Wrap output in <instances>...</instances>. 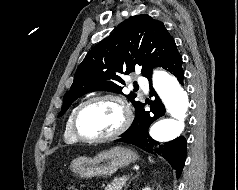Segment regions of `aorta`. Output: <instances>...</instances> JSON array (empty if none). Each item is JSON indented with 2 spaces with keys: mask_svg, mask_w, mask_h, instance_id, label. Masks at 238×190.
Here are the masks:
<instances>
[{
  "mask_svg": "<svg viewBox=\"0 0 238 190\" xmlns=\"http://www.w3.org/2000/svg\"><path fill=\"white\" fill-rule=\"evenodd\" d=\"M153 86L161 98L169 117L160 118L150 129V136L160 143L177 138L184 129L189 107L187 92L178 80L165 71H155Z\"/></svg>",
  "mask_w": 238,
  "mask_h": 190,
  "instance_id": "aorta-1",
  "label": "aorta"
}]
</instances>
